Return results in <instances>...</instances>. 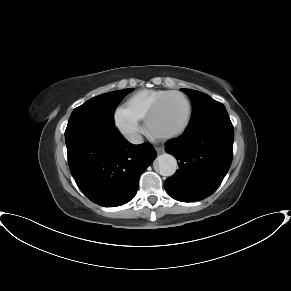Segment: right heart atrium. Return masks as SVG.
<instances>
[{
	"label": "right heart atrium",
	"mask_w": 291,
	"mask_h": 291,
	"mask_svg": "<svg viewBox=\"0 0 291 291\" xmlns=\"http://www.w3.org/2000/svg\"><path fill=\"white\" fill-rule=\"evenodd\" d=\"M114 124L127 139L134 138L140 129V119L125 106L115 110Z\"/></svg>",
	"instance_id": "obj_1"
}]
</instances>
